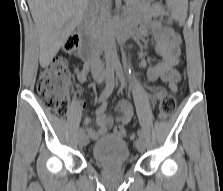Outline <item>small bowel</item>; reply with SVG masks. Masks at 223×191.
I'll return each mask as SVG.
<instances>
[{"instance_id": "small-bowel-1", "label": "small bowel", "mask_w": 223, "mask_h": 191, "mask_svg": "<svg viewBox=\"0 0 223 191\" xmlns=\"http://www.w3.org/2000/svg\"><path fill=\"white\" fill-rule=\"evenodd\" d=\"M160 13L159 6H153L151 8L150 15L155 16ZM147 25L150 28L151 35L154 40V46L161 57L160 62L151 66L147 70V76L150 81L162 80L169 90L172 92L177 91V84L180 81V73L178 66L180 64V52H181V37L172 29L162 26L160 21L155 18H148L144 23L138 26V30L142 35H147ZM140 59L142 66H145L144 52H140ZM92 63H86L78 71V79L81 83L86 81V77L90 72ZM166 94L164 89H157L154 92L153 102L162 98ZM115 110L116 116L106 114V99H99V105L97 107V128L93 129L89 127L91 119L88 117L83 118L82 123L88 136L92 139H98L106 135L115 122L125 125L127 124L133 115L132 106L124 100L119 101Z\"/></svg>"}]
</instances>
